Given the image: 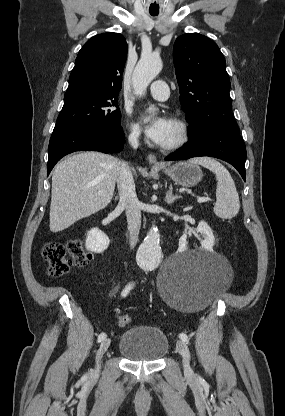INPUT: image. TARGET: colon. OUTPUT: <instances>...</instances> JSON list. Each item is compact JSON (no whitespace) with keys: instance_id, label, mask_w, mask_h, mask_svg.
<instances>
[{"instance_id":"colon-1","label":"colon","mask_w":285,"mask_h":416,"mask_svg":"<svg viewBox=\"0 0 285 416\" xmlns=\"http://www.w3.org/2000/svg\"><path fill=\"white\" fill-rule=\"evenodd\" d=\"M44 259L48 262L49 273L59 277L68 272L71 266H82L89 261V255L84 251L78 240L68 243L51 242L44 246L42 251ZM116 318L120 326L130 323V317L116 309Z\"/></svg>"}]
</instances>
